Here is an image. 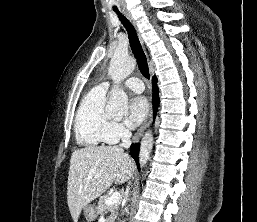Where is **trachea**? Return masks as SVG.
I'll list each match as a JSON object with an SVG mask.
<instances>
[{
	"label": "trachea",
	"mask_w": 257,
	"mask_h": 222,
	"mask_svg": "<svg viewBox=\"0 0 257 222\" xmlns=\"http://www.w3.org/2000/svg\"><path fill=\"white\" fill-rule=\"evenodd\" d=\"M116 13L118 15L119 20L121 21V23L123 24V26L126 28L128 32L130 47L137 60V64L140 72L145 78L149 79L150 74H149L147 58L142 49V46L140 44L136 31L132 26V24L120 12L116 11Z\"/></svg>",
	"instance_id": "trachea-1"
}]
</instances>
